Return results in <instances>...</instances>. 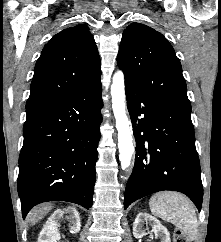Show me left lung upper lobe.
<instances>
[{"instance_id": "obj_1", "label": "left lung upper lobe", "mask_w": 221, "mask_h": 242, "mask_svg": "<svg viewBox=\"0 0 221 242\" xmlns=\"http://www.w3.org/2000/svg\"><path fill=\"white\" fill-rule=\"evenodd\" d=\"M117 64L126 79L145 93L191 111L180 61L161 33L144 24H130L122 34Z\"/></svg>"}]
</instances>
